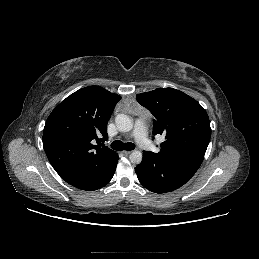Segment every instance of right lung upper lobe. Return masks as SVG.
Wrapping results in <instances>:
<instances>
[{
	"mask_svg": "<svg viewBox=\"0 0 259 259\" xmlns=\"http://www.w3.org/2000/svg\"><path fill=\"white\" fill-rule=\"evenodd\" d=\"M120 99L102 87H85L63 100L47 118L44 150L55 171L67 183L102 171L117 158L113 150L93 145V141L107 139V123Z\"/></svg>",
	"mask_w": 259,
	"mask_h": 259,
	"instance_id": "right-lung-upper-lobe-1",
	"label": "right lung upper lobe"
}]
</instances>
